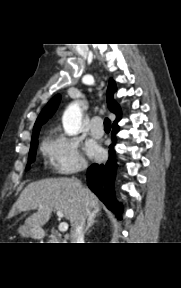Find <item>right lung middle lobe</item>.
<instances>
[{
  "label": "right lung middle lobe",
  "mask_w": 181,
  "mask_h": 288,
  "mask_svg": "<svg viewBox=\"0 0 181 288\" xmlns=\"http://www.w3.org/2000/svg\"><path fill=\"white\" fill-rule=\"evenodd\" d=\"M37 144H38L37 140L31 142V147H30V151H29V161H28V164H27V167H26L27 170L30 169V164L35 159Z\"/></svg>",
  "instance_id": "obj_1"
}]
</instances>
